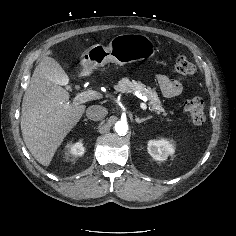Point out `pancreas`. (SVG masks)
Instances as JSON below:
<instances>
[{
	"mask_svg": "<svg viewBox=\"0 0 236 236\" xmlns=\"http://www.w3.org/2000/svg\"><path fill=\"white\" fill-rule=\"evenodd\" d=\"M114 88L117 92H140L147 98L150 111L156 112L157 114L162 113L165 116L167 115L162 107L157 92L151 88H146L144 84L136 81L131 82L128 78H122L116 85H114Z\"/></svg>",
	"mask_w": 236,
	"mask_h": 236,
	"instance_id": "cf45deb5",
	"label": "pancreas"
}]
</instances>
